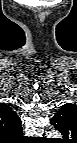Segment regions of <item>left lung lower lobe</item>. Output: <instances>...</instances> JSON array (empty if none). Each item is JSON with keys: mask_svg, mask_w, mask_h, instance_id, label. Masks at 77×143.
Here are the masks:
<instances>
[{"mask_svg": "<svg viewBox=\"0 0 77 143\" xmlns=\"http://www.w3.org/2000/svg\"><path fill=\"white\" fill-rule=\"evenodd\" d=\"M76 107L73 104H65L63 105L59 111L54 115L51 120L52 125H59L66 122L71 123L73 119V115L75 113ZM55 127V126H54Z\"/></svg>", "mask_w": 77, "mask_h": 143, "instance_id": "obj_1", "label": "left lung lower lobe"}]
</instances>
